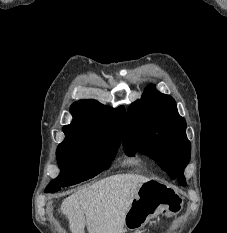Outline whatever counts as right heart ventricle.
Returning a JSON list of instances; mask_svg holds the SVG:
<instances>
[{
	"label": "right heart ventricle",
	"mask_w": 227,
	"mask_h": 233,
	"mask_svg": "<svg viewBox=\"0 0 227 233\" xmlns=\"http://www.w3.org/2000/svg\"><path fill=\"white\" fill-rule=\"evenodd\" d=\"M129 163H132V164H139V163H141V160H139V159H136V160H129Z\"/></svg>",
	"instance_id": "1"
}]
</instances>
